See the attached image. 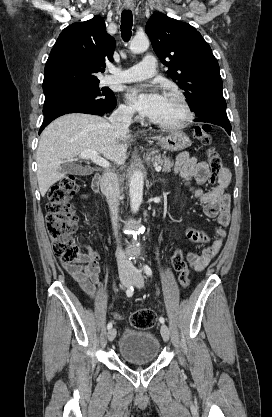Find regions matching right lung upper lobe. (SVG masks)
<instances>
[{"label": "right lung upper lobe", "instance_id": "right-lung-upper-lobe-1", "mask_svg": "<svg viewBox=\"0 0 272 417\" xmlns=\"http://www.w3.org/2000/svg\"><path fill=\"white\" fill-rule=\"evenodd\" d=\"M101 17L76 22L59 35L44 69L43 91L99 83L96 74L113 61L115 39Z\"/></svg>", "mask_w": 272, "mask_h": 417}]
</instances>
